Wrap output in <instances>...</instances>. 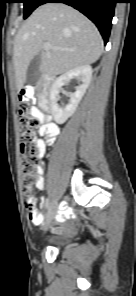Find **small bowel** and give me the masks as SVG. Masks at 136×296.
<instances>
[{"instance_id":"small-bowel-1","label":"small bowel","mask_w":136,"mask_h":296,"mask_svg":"<svg viewBox=\"0 0 136 296\" xmlns=\"http://www.w3.org/2000/svg\"><path fill=\"white\" fill-rule=\"evenodd\" d=\"M26 90H31L30 87H26ZM35 116L42 121V125L39 128V134L42 138H39L36 140V143L38 145V157L42 158L46 151V145L52 144L57 135L59 134L58 127L49 121L48 117L41 111L36 110L34 111ZM38 170V179L36 182V188L39 190H42L44 188V164L40 163V165L37 168ZM38 215V220L32 221L35 226H40L43 223V215L37 211H35ZM71 215L70 210H65L63 213L58 215L57 219L60 222H63L66 217H69ZM59 232L66 231L64 228H59Z\"/></svg>"}]
</instances>
